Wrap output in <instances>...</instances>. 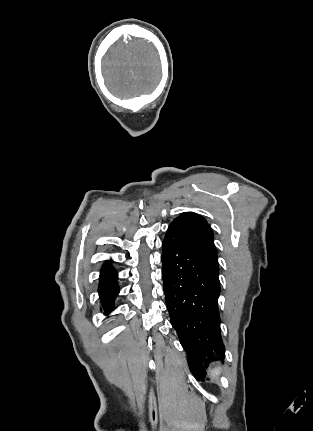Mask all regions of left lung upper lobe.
Segmentation results:
<instances>
[{"mask_svg": "<svg viewBox=\"0 0 313 431\" xmlns=\"http://www.w3.org/2000/svg\"><path fill=\"white\" fill-rule=\"evenodd\" d=\"M168 229L177 231L188 242L217 259L212 229L202 216L193 212L182 213L171 222Z\"/></svg>", "mask_w": 313, "mask_h": 431, "instance_id": "1", "label": "left lung upper lobe"}]
</instances>
